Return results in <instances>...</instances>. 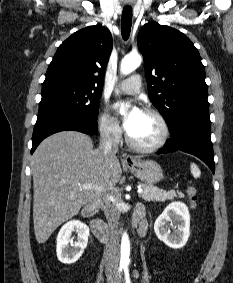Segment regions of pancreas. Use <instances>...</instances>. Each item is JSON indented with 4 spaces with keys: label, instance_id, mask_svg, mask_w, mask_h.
<instances>
[{
    "label": "pancreas",
    "instance_id": "1",
    "mask_svg": "<svg viewBox=\"0 0 233 283\" xmlns=\"http://www.w3.org/2000/svg\"><path fill=\"white\" fill-rule=\"evenodd\" d=\"M143 192L140 194L141 198L145 201H156V202H165L166 200H173L177 197H182L183 194L179 191L170 190L168 192L146 184H140Z\"/></svg>",
    "mask_w": 233,
    "mask_h": 283
}]
</instances>
